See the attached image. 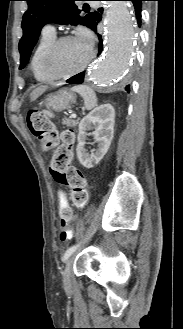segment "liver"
<instances>
[{"label": "liver", "instance_id": "liver-1", "mask_svg": "<svg viewBox=\"0 0 183 329\" xmlns=\"http://www.w3.org/2000/svg\"><path fill=\"white\" fill-rule=\"evenodd\" d=\"M47 89V86H41L36 88L30 95L31 101L36 100L39 96H41Z\"/></svg>", "mask_w": 183, "mask_h": 329}]
</instances>
